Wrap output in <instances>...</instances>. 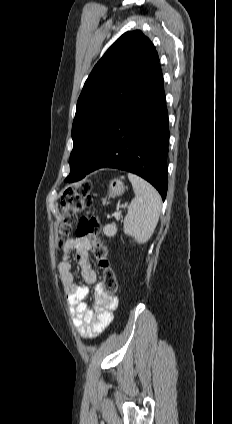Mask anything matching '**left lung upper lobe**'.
<instances>
[{
  "label": "left lung upper lobe",
  "mask_w": 232,
  "mask_h": 424,
  "mask_svg": "<svg viewBox=\"0 0 232 424\" xmlns=\"http://www.w3.org/2000/svg\"><path fill=\"white\" fill-rule=\"evenodd\" d=\"M158 64L154 45L141 31L124 33L98 61L77 102L67 178L85 176L103 136Z\"/></svg>",
  "instance_id": "obj_1"
}]
</instances>
